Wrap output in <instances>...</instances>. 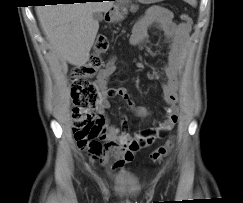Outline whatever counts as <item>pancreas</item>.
Here are the masks:
<instances>
[{"label": "pancreas", "mask_w": 243, "mask_h": 203, "mask_svg": "<svg viewBox=\"0 0 243 203\" xmlns=\"http://www.w3.org/2000/svg\"><path fill=\"white\" fill-rule=\"evenodd\" d=\"M137 8H138L137 6H132L131 11L135 12L137 10Z\"/></svg>", "instance_id": "pancreas-1"}]
</instances>
